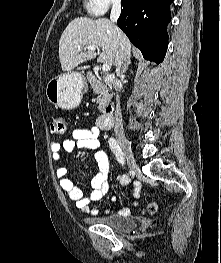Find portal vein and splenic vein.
<instances>
[{
	"instance_id": "obj_1",
	"label": "portal vein and splenic vein",
	"mask_w": 221,
	"mask_h": 263,
	"mask_svg": "<svg viewBox=\"0 0 221 263\" xmlns=\"http://www.w3.org/2000/svg\"><path fill=\"white\" fill-rule=\"evenodd\" d=\"M86 49L89 50V51H96V47H94V46H87ZM110 68H111V66L108 63H104L102 65V70L104 72L110 71Z\"/></svg>"
}]
</instances>
